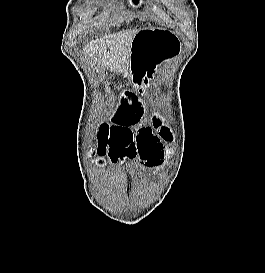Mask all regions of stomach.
Here are the masks:
<instances>
[{
    "mask_svg": "<svg viewBox=\"0 0 265 273\" xmlns=\"http://www.w3.org/2000/svg\"><path fill=\"white\" fill-rule=\"evenodd\" d=\"M179 48L178 39L164 29L149 27L138 30L130 52V71L135 85L147 84L161 64L174 57Z\"/></svg>",
    "mask_w": 265,
    "mask_h": 273,
    "instance_id": "stomach-1",
    "label": "stomach"
}]
</instances>
